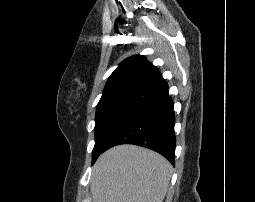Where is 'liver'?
<instances>
[{"mask_svg": "<svg viewBox=\"0 0 255 202\" xmlns=\"http://www.w3.org/2000/svg\"><path fill=\"white\" fill-rule=\"evenodd\" d=\"M172 175L160 154L135 145L104 152L91 176L93 202H163Z\"/></svg>", "mask_w": 255, "mask_h": 202, "instance_id": "1", "label": "liver"}]
</instances>
